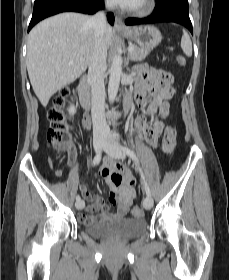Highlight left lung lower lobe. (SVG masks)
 Segmentation results:
<instances>
[{
  "instance_id": "0a47b994",
  "label": "left lung lower lobe",
  "mask_w": 229,
  "mask_h": 280,
  "mask_svg": "<svg viewBox=\"0 0 229 280\" xmlns=\"http://www.w3.org/2000/svg\"><path fill=\"white\" fill-rule=\"evenodd\" d=\"M154 13L143 19L129 18L126 25L150 24L157 22H175L189 29L193 34L189 18L188 0H157Z\"/></svg>"
}]
</instances>
